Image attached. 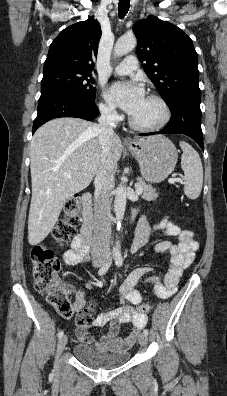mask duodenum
<instances>
[{
  "instance_id": "duodenum-1",
  "label": "duodenum",
  "mask_w": 227,
  "mask_h": 396,
  "mask_svg": "<svg viewBox=\"0 0 227 396\" xmlns=\"http://www.w3.org/2000/svg\"><path fill=\"white\" fill-rule=\"evenodd\" d=\"M83 211L82 217L83 222L81 226L80 237L84 244L89 247L92 239L93 231V208H92V196L90 193H85L82 196Z\"/></svg>"
}]
</instances>
